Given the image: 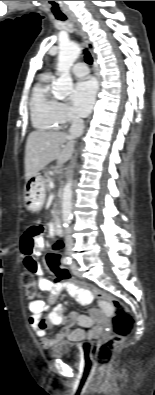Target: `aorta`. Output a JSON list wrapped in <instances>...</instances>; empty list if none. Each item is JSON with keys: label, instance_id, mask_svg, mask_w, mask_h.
<instances>
[{"label": "aorta", "instance_id": "762f6f07", "mask_svg": "<svg viewBox=\"0 0 155 395\" xmlns=\"http://www.w3.org/2000/svg\"><path fill=\"white\" fill-rule=\"evenodd\" d=\"M80 54V47L76 43H64L60 46L57 70L59 78L54 83L53 94L56 99H65L73 90V80L70 68ZM72 220V180L69 179L62 192V221L68 227Z\"/></svg>", "mask_w": 155, "mask_h": 395}]
</instances>
